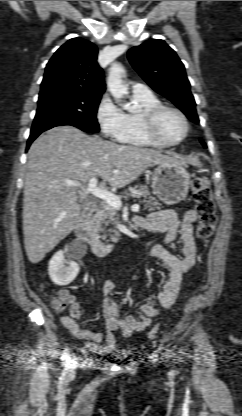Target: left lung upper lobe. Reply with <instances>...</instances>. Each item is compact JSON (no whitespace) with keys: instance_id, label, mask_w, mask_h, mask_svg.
Returning a JSON list of instances; mask_svg holds the SVG:
<instances>
[{"instance_id":"left-lung-upper-lobe-1","label":"left lung upper lobe","mask_w":242,"mask_h":416,"mask_svg":"<svg viewBox=\"0 0 242 416\" xmlns=\"http://www.w3.org/2000/svg\"><path fill=\"white\" fill-rule=\"evenodd\" d=\"M128 59L156 92L172 101L191 121L199 123L185 67L171 47L163 40L151 39L131 48Z\"/></svg>"}]
</instances>
